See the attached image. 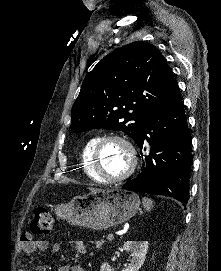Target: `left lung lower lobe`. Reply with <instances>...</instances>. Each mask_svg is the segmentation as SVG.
I'll return each mask as SVG.
<instances>
[{
	"mask_svg": "<svg viewBox=\"0 0 221 271\" xmlns=\"http://www.w3.org/2000/svg\"><path fill=\"white\" fill-rule=\"evenodd\" d=\"M135 142L141 150L144 142H148L151 154L141 152L144 157L141 173L122 188L171 196L186 205L192 164L191 134L179 89L165 107L145 121Z\"/></svg>",
	"mask_w": 221,
	"mask_h": 271,
	"instance_id": "1",
	"label": "left lung lower lobe"
}]
</instances>
